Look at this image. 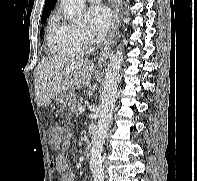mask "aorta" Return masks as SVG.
<instances>
[{"instance_id": "1", "label": "aorta", "mask_w": 197, "mask_h": 181, "mask_svg": "<svg viewBox=\"0 0 197 181\" xmlns=\"http://www.w3.org/2000/svg\"><path fill=\"white\" fill-rule=\"evenodd\" d=\"M64 13L74 22H81L85 0H61ZM123 60L121 44L112 53L101 92L100 113L96 133L92 140L90 170L94 181H104L101 155L105 137L112 119Z\"/></svg>"}]
</instances>
